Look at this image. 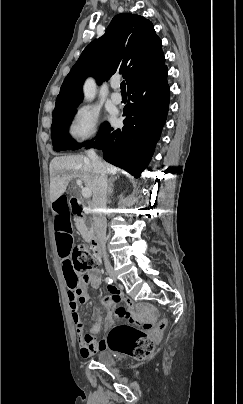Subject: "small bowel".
<instances>
[{
    "instance_id": "1",
    "label": "small bowel",
    "mask_w": 243,
    "mask_h": 404,
    "mask_svg": "<svg viewBox=\"0 0 243 404\" xmlns=\"http://www.w3.org/2000/svg\"><path fill=\"white\" fill-rule=\"evenodd\" d=\"M52 215L56 245L68 287V302L78 337L80 354L82 357L88 358L96 352L104 350L107 346L104 339H97L93 333L83 332V322L78 314V307L79 304L88 300L87 287L97 288L100 285L101 272L94 269L85 279L81 280L73 273L71 260L72 228L68 217V201L65 195H60L53 200ZM108 291L109 295L105 298L107 310L113 312L118 318L126 317L133 320V315L128 310L131 308L130 305L128 308L118 306L122 299L121 292L114 287H109ZM111 323L110 319L106 320V326H110Z\"/></svg>"
}]
</instances>
